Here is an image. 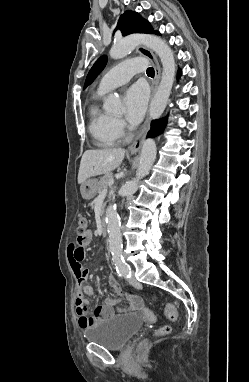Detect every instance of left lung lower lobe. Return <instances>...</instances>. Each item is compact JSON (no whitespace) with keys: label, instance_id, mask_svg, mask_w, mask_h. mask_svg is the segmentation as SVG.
I'll return each mask as SVG.
<instances>
[{"label":"left lung lower lobe","instance_id":"obj_1","mask_svg":"<svg viewBox=\"0 0 249 382\" xmlns=\"http://www.w3.org/2000/svg\"><path fill=\"white\" fill-rule=\"evenodd\" d=\"M180 75H181V70L178 71L177 76L180 77ZM166 122H167V118H164L162 120L152 121V126L147 137H154L157 134H159L164 129Z\"/></svg>","mask_w":249,"mask_h":382}]
</instances>
